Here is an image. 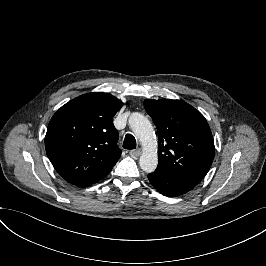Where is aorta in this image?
<instances>
[{
    "label": "aorta",
    "mask_w": 266,
    "mask_h": 266,
    "mask_svg": "<svg viewBox=\"0 0 266 266\" xmlns=\"http://www.w3.org/2000/svg\"><path fill=\"white\" fill-rule=\"evenodd\" d=\"M129 127L132 132L141 139L142 143H150L153 146L145 148L139 158V167L147 174L154 173L158 166V156L156 142L154 141V131L149 119L140 112H133L128 119Z\"/></svg>",
    "instance_id": "762f6f07"
}]
</instances>
